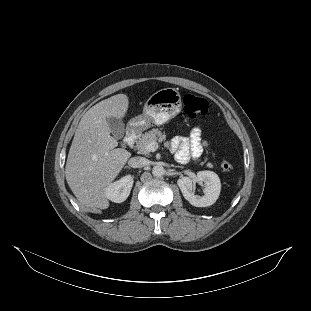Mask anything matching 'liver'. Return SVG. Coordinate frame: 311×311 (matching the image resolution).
Segmentation results:
<instances>
[{"mask_svg": "<svg viewBox=\"0 0 311 311\" xmlns=\"http://www.w3.org/2000/svg\"><path fill=\"white\" fill-rule=\"evenodd\" d=\"M129 106L126 94H116L91 107L81 118L68 153L65 174L78 201L89 211L107 209L105 189L131 153L117 148L107 118L122 119Z\"/></svg>", "mask_w": 311, "mask_h": 311, "instance_id": "liver-1", "label": "liver"}]
</instances>
